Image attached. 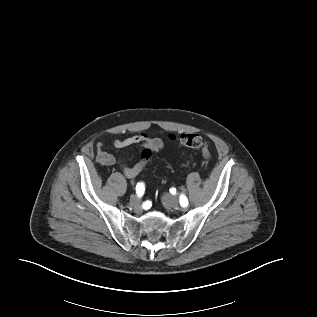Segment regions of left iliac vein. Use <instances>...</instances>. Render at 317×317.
<instances>
[{
	"label": "left iliac vein",
	"mask_w": 317,
	"mask_h": 317,
	"mask_svg": "<svg viewBox=\"0 0 317 317\" xmlns=\"http://www.w3.org/2000/svg\"><path fill=\"white\" fill-rule=\"evenodd\" d=\"M162 202L167 208H177L179 206V200L176 196L165 193L162 197Z\"/></svg>",
	"instance_id": "obj_1"
}]
</instances>
